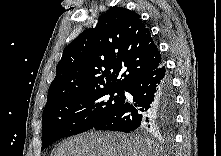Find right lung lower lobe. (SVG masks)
Listing matches in <instances>:
<instances>
[{"instance_id":"right-lung-lower-lobe-1","label":"right lung lower lobe","mask_w":221,"mask_h":156,"mask_svg":"<svg viewBox=\"0 0 221 156\" xmlns=\"http://www.w3.org/2000/svg\"><path fill=\"white\" fill-rule=\"evenodd\" d=\"M125 91L133 96V101H124L94 129L129 133L143 127H173L175 93L163 63L135 79Z\"/></svg>"}]
</instances>
